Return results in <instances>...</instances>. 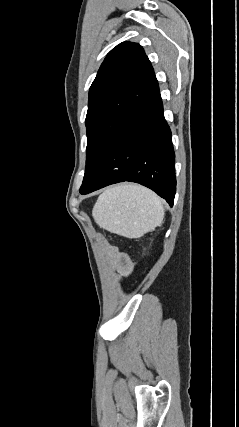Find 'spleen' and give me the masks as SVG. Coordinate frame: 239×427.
<instances>
[{"mask_svg":"<svg viewBox=\"0 0 239 427\" xmlns=\"http://www.w3.org/2000/svg\"><path fill=\"white\" fill-rule=\"evenodd\" d=\"M92 215L101 228L111 233L139 238L162 223L164 207L153 191L137 184H121L98 197Z\"/></svg>","mask_w":239,"mask_h":427,"instance_id":"3e777b00","label":"spleen"}]
</instances>
